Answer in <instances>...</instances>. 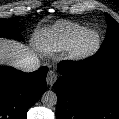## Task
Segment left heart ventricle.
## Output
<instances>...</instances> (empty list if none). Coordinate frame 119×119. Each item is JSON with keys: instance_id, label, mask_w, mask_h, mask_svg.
Wrapping results in <instances>:
<instances>
[{"instance_id": "obj_1", "label": "left heart ventricle", "mask_w": 119, "mask_h": 119, "mask_svg": "<svg viewBox=\"0 0 119 119\" xmlns=\"http://www.w3.org/2000/svg\"><path fill=\"white\" fill-rule=\"evenodd\" d=\"M92 42H93L92 38L88 40V44H91Z\"/></svg>"}]
</instances>
